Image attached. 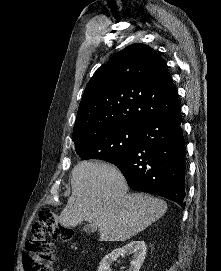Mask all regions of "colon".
Listing matches in <instances>:
<instances>
[{
  "label": "colon",
  "mask_w": 221,
  "mask_h": 271,
  "mask_svg": "<svg viewBox=\"0 0 221 271\" xmlns=\"http://www.w3.org/2000/svg\"><path fill=\"white\" fill-rule=\"evenodd\" d=\"M33 236L22 253L23 271H53L54 243L58 237L69 240L74 232L65 226L54 207L45 206L33 224Z\"/></svg>",
  "instance_id": "obj_1"
}]
</instances>
